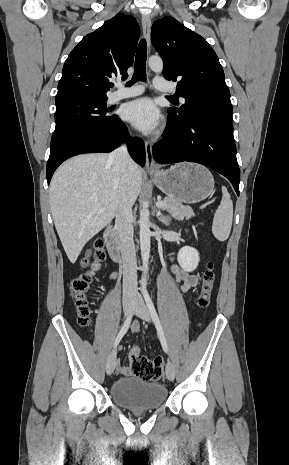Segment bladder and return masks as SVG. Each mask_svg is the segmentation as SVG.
Here are the masks:
<instances>
[{
    "label": "bladder",
    "instance_id": "bladder-1",
    "mask_svg": "<svg viewBox=\"0 0 289 465\" xmlns=\"http://www.w3.org/2000/svg\"><path fill=\"white\" fill-rule=\"evenodd\" d=\"M109 393L117 405L134 410L156 409L166 401L168 395L163 384L137 377L115 380Z\"/></svg>",
    "mask_w": 289,
    "mask_h": 465
}]
</instances>
